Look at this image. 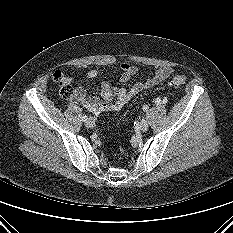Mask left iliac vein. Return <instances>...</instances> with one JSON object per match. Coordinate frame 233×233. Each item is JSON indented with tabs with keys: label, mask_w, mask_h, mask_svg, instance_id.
<instances>
[{
	"label": "left iliac vein",
	"mask_w": 233,
	"mask_h": 233,
	"mask_svg": "<svg viewBox=\"0 0 233 233\" xmlns=\"http://www.w3.org/2000/svg\"><path fill=\"white\" fill-rule=\"evenodd\" d=\"M149 128V124L146 120H142L139 124V129L143 132L147 131Z\"/></svg>",
	"instance_id": "obj_1"
}]
</instances>
